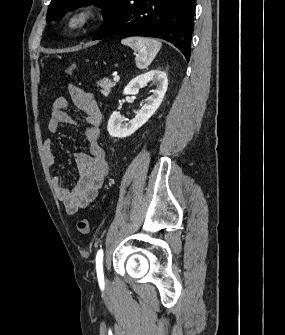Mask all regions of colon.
Wrapping results in <instances>:
<instances>
[{
    "mask_svg": "<svg viewBox=\"0 0 285 335\" xmlns=\"http://www.w3.org/2000/svg\"><path fill=\"white\" fill-rule=\"evenodd\" d=\"M75 70H76L75 64H70L66 68V73L69 76H72L75 73ZM76 226H77V230L82 234H87L90 231V224H89L88 219L86 218H79L77 220Z\"/></svg>",
    "mask_w": 285,
    "mask_h": 335,
    "instance_id": "colon-1",
    "label": "colon"
}]
</instances>
